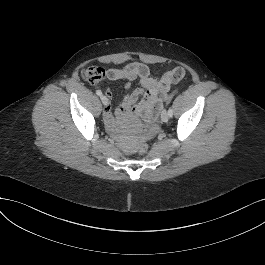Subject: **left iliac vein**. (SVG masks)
Instances as JSON below:
<instances>
[{
	"instance_id": "left-iliac-vein-1",
	"label": "left iliac vein",
	"mask_w": 265,
	"mask_h": 265,
	"mask_svg": "<svg viewBox=\"0 0 265 265\" xmlns=\"http://www.w3.org/2000/svg\"><path fill=\"white\" fill-rule=\"evenodd\" d=\"M161 120L163 122H167L169 120V114L166 110H164L161 114Z\"/></svg>"
}]
</instances>
